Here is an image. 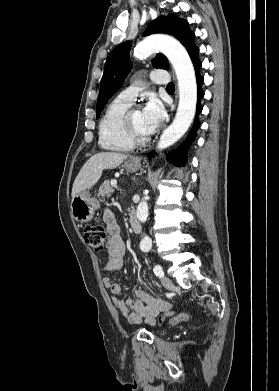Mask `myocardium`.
Returning <instances> with one entry per match:
<instances>
[{
    "label": "myocardium",
    "instance_id": "f54148a6",
    "mask_svg": "<svg viewBox=\"0 0 279 391\" xmlns=\"http://www.w3.org/2000/svg\"><path fill=\"white\" fill-rule=\"evenodd\" d=\"M137 106H130V108L125 112L123 116V125L125 133L133 145H143L150 141L151 135H141L137 132L133 120L132 114L137 110Z\"/></svg>",
    "mask_w": 279,
    "mask_h": 391
}]
</instances>
